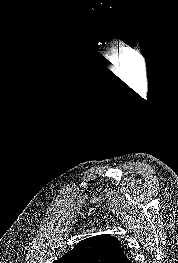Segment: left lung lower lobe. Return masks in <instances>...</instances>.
Returning a JSON list of instances; mask_svg holds the SVG:
<instances>
[{
  "label": "left lung lower lobe",
  "mask_w": 178,
  "mask_h": 263,
  "mask_svg": "<svg viewBox=\"0 0 178 263\" xmlns=\"http://www.w3.org/2000/svg\"><path fill=\"white\" fill-rule=\"evenodd\" d=\"M110 263H131V260L127 257V255L122 251L120 255L113 258Z\"/></svg>",
  "instance_id": "left-lung-lower-lobe-1"
}]
</instances>
